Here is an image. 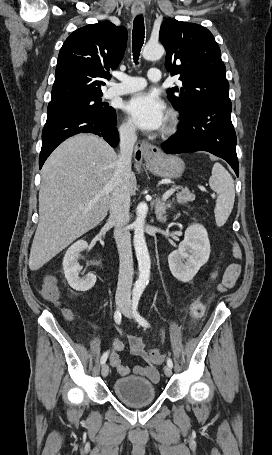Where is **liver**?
<instances>
[{
  "instance_id": "obj_1",
  "label": "liver",
  "mask_w": 272,
  "mask_h": 455,
  "mask_svg": "<svg viewBox=\"0 0 272 455\" xmlns=\"http://www.w3.org/2000/svg\"><path fill=\"white\" fill-rule=\"evenodd\" d=\"M118 156L103 139L79 134L64 141L46 160L39 191V223L29 256L39 270L107 215ZM133 172L129 191L136 192Z\"/></svg>"
}]
</instances>
